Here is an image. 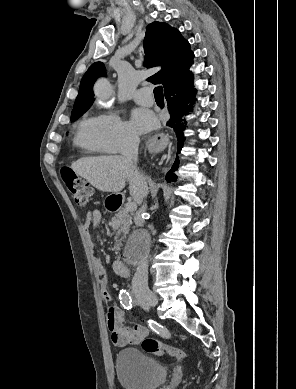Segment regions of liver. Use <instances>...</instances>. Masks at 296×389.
I'll return each mask as SVG.
<instances>
[{
  "label": "liver",
  "mask_w": 296,
  "mask_h": 389,
  "mask_svg": "<svg viewBox=\"0 0 296 389\" xmlns=\"http://www.w3.org/2000/svg\"><path fill=\"white\" fill-rule=\"evenodd\" d=\"M71 169L100 191L119 193L128 182L135 202L140 203L146 196L144 181L132 174L131 165L124 156L84 157L75 161Z\"/></svg>",
  "instance_id": "6515ba94"
}]
</instances>
